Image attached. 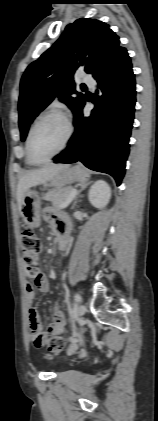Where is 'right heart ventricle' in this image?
I'll return each instance as SVG.
<instances>
[{
  "mask_svg": "<svg viewBox=\"0 0 158 421\" xmlns=\"http://www.w3.org/2000/svg\"><path fill=\"white\" fill-rule=\"evenodd\" d=\"M27 163H28L29 165H33V164L31 163V161L29 160L28 156H27Z\"/></svg>",
  "mask_w": 158,
  "mask_h": 421,
  "instance_id": "obj_1",
  "label": "right heart ventricle"
}]
</instances>
